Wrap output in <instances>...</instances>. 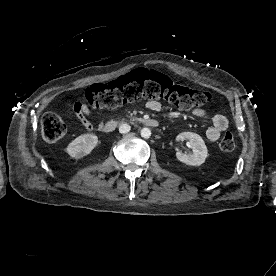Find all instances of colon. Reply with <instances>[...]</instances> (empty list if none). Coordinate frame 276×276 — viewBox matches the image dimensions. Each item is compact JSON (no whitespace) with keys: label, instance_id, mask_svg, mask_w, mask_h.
<instances>
[{"label":"colon","instance_id":"5ec220e1","mask_svg":"<svg viewBox=\"0 0 276 276\" xmlns=\"http://www.w3.org/2000/svg\"><path fill=\"white\" fill-rule=\"evenodd\" d=\"M87 102L95 108H113L140 99H162L187 109L207 104L211 95L174 83L167 75L148 68H138L106 84H95L84 92ZM42 136L47 142H56L66 133V124L54 113H45L41 119ZM220 149L230 152L235 148V137L226 132L220 140Z\"/></svg>","mask_w":276,"mask_h":276}]
</instances>
